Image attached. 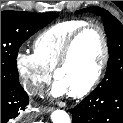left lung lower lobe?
<instances>
[{
    "mask_svg": "<svg viewBox=\"0 0 123 123\" xmlns=\"http://www.w3.org/2000/svg\"><path fill=\"white\" fill-rule=\"evenodd\" d=\"M70 113L72 123H123V82L96 88Z\"/></svg>",
    "mask_w": 123,
    "mask_h": 123,
    "instance_id": "obj_1",
    "label": "left lung lower lobe"
}]
</instances>
